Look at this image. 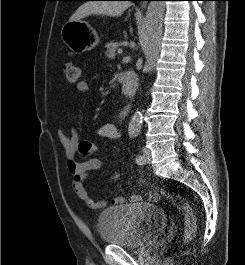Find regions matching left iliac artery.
<instances>
[{"label":"left iliac artery","mask_w":245,"mask_h":265,"mask_svg":"<svg viewBox=\"0 0 245 265\" xmlns=\"http://www.w3.org/2000/svg\"><path fill=\"white\" fill-rule=\"evenodd\" d=\"M132 136L133 137H136L137 136V134H132ZM136 162L138 163V164H142L143 163V156L142 155H138L137 157H136Z\"/></svg>","instance_id":"44dca946"}]
</instances>
